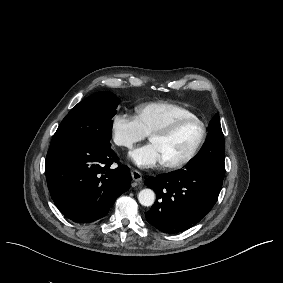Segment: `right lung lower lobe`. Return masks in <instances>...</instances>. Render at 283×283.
Here are the masks:
<instances>
[{
    "mask_svg": "<svg viewBox=\"0 0 283 283\" xmlns=\"http://www.w3.org/2000/svg\"><path fill=\"white\" fill-rule=\"evenodd\" d=\"M116 153L88 141L51 142L45 173L51 197L69 219L89 223L104 217L116 199L130 186L127 166Z\"/></svg>",
    "mask_w": 283,
    "mask_h": 283,
    "instance_id": "obj_1",
    "label": "right lung lower lobe"
}]
</instances>
